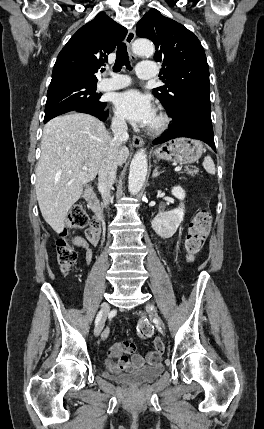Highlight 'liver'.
Returning <instances> with one entry per match:
<instances>
[{"label":"liver","mask_w":264,"mask_h":429,"mask_svg":"<svg viewBox=\"0 0 264 429\" xmlns=\"http://www.w3.org/2000/svg\"><path fill=\"white\" fill-rule=\"evenodd\" d=\"M111 140L104 124L89 114L62 115L45 125L35 189L41 214L55 232H62L84 185L96 177ZM128 156V148L119 147L117 164H124Z\"/></svg>","instance_id":"liver-1"}]
</instances>
